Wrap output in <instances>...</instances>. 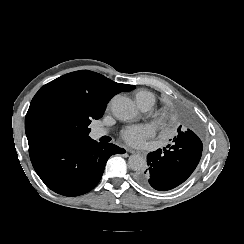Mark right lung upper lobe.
Returning <instances> with one entry per match:
<instances>
[{
  "instance_id": "obj_1",
  "label": "right lung upper lobe",
  "mask_w": 244,
  "mask_h": 244,
  "mask_svg": "<svg viewBox=\"0 0 244 244\" xmlns=\"http://www.w3.org/2000/svg\"><path fill=\"white\" fill-rule=\"evenodd\" d=\"M132 85L116 83L105 76L89 70H80L65 74L44 85L36 94L49 96L55 92H67L85 96L93 102L105 106L121 91H130Z\"/></svg>"
}]
</instances>
